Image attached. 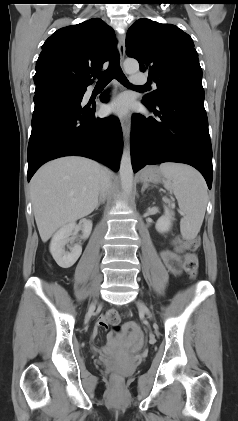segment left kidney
Wrapping results in <instances>:
<instances>
[{
	"mask_svg": "<svg viewBox=\"0 0 238 421\" xmlns=\"http://www.w3.org/2000/svg\"><path fill=\"white\" fill-rule=\"evenodd\" d=\"M174 218L172 217V213L168 207L164 208V215L161 216L156 223V230L159 233H166L171 229L172 221Z\"/></svg>",
	"mask_w": 238,
	"mask_h": 421,
	"instance_id": "obj_1",
	"label": "left kidney"
}]
</instances>
